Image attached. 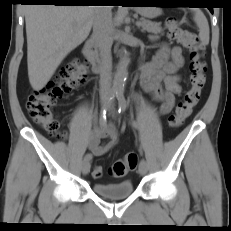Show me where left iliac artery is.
I'll return each mask as SVG.
<instances>
[{
    "label": "left iliac artery",
    "instance_id": "44dca946",
    "mask_svg": "<svg viewBox=\"0 0 231 231\" xmlns=\"http://www.w3.org/2000/svg\"><path fill=\"white\" fill-rule=\"evenodd\" d=\"M118 100V113L123 114L127 107V102L124 96V89H119L116 94ZM135 127H138L136 123H134Z\"/></svg>",
    "mask_w": 231,
    "mask_h": 231
}]
</instances>
